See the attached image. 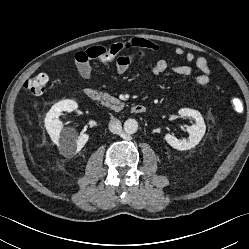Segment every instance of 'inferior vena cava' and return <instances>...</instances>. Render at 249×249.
<instances>
[{
	"label": "inferior vena cava",
	"instance_id": "obj_1",
	"mask_svg": "<svg viewBox=\"0 0 249 249\" xmlns=\"http://www.w3.org/2000/svg\"><path fill=\"white\" fill-rule=\"evenodd\" d=\"M108 126H109L110 132L113 134H118L122 129L121 122L118 119H112L109 122Z\"/></svg>",
	"mask_w": 249,
	"mask_h": 249
}]
</instances>
